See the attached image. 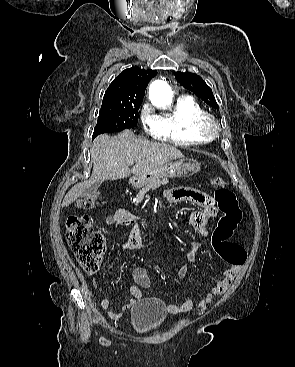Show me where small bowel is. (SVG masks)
Returning <instances> with one entry per match:
<instances>
[{
  "label": "small bowel",
  "mask_w": 295,
  "mask_h": 367,
  "mask_svg": "<svg viewBox=\"0 0 295 367\" xmlns=\"http://www.w3.org/2000/svg\"><path fill=\"white\" fill-rule=\"evenodd\" d=\"M167 197L170 202H190L202 207V212L200 208H190L188 210V213L190 214L189 222L201 235H207L209 222L216 216L217 213L214 199L190 186H181L179 188L173 189L167 192ZM105 223L116 226L133 225V228L129 232L122 247L126 251H134L142 248L144 244V229L142 224L136 220L132 212L125 208H119L115 213L106 216ZM200 245L201 243L198 240L192 241L190 243L186 252V262L178 272L180 278L187 276L189 269L195 262V253ZM241 266L242 265L229 264L225 268L221 280L213 284L209 292H207L200 300L197 307L198 311H204L210 305L215 296L222 294L229 288L233 279L240 271ZM132 277L135 284H130L129 290L133 299L123 305V310L129 309L135 304L136 300H139L143 297L142 289H148L151 286L147 269L143 266L136 267L132 272ZM93 284L95 287L98 286V282L96 280L93 281ZM100 305L104 310H108L110 307V300L108 298H103L100 302ZM193 306L194 301L192 299H186L180 305H167L166 310L174 314L183 313L190 311ZM120 314L121 313L117 311H108V315L111 319L119 318Z\"/></svg>",
  "instance_id": "1"
}]
</instances>
